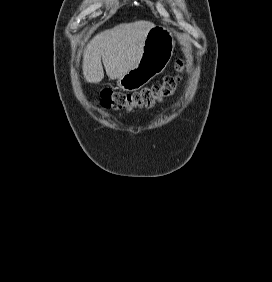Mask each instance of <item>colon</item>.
<instances>
[{
	"label": "colon",
	"instance_id": "colon-1",
	"mask_svg": "<svg viewBox=\"0 0 272 282\" xmlns=\"http://www.w3.org/2000/svg\"><path fill=\"white\" fill-rule=\"evenodd\" d=\"M184 61L178 60L176 66L182 70ZM177 78L166 75L162 80L150 87H145L134 93L116 92L103 89L99 94V103L106 109L132 111L136 108H150L156 103L173 96L176 90Z\"/></svg>",
	"mask_w": 272,
	"mask_h": 282
}]
</instances>
